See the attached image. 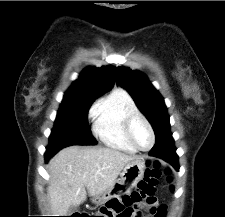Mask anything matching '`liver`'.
I'll use <instances>...</instances> for the list:
<instances>
[{
    "mask_svg": "<svg viewBox=\"0 0 225 217\" xmlns=\"http://www.w3.org/2000/svg\"><path fill=\"white\" fill-rule=\"evenodd\" d=\"M139 159L112 148L70 146L48 163V199L53 214L67 216L90 196L111 188L126 164ZM87 190V192H86Z\"/></svg>",
    "mask_w": 225,
    "mask_h": 217,
    "instance_id": "liver-1",
    "label": "liver"
}]
</instances>
